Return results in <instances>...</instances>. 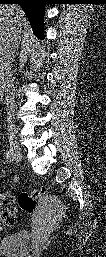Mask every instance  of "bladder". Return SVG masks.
<instances>
[{
    "label": "bladder",
    "instance_id": "1",
    "mask_svg": "<svg viewBox=\"0 0 106 257\" xmlns=\"http://www.w3.org/2000/svg\"><path fill=\"white\" fill-rule=\"evenodd\" d=\"M29 234L19 231L1 238L0 252L6 257H21L25 254L29 244Z\"/></svg>",
    "mask_w": 106,
    "mask_h": 257
}]
</instances>
